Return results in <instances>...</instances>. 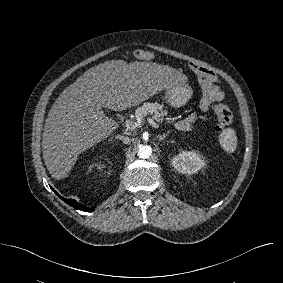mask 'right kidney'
Returning <instances> with one entry per match:
<instances>
[{"mask_svg":"<svg viewBox=\"0 0 283 283\" xmlns=\"http://www.w3.org/2000/svg\"><path fill=\"white\" fill-rule=\"evenodd\" d=\"M98 169H102L104 167V164H102L101 162H99L98 164H96Z\"/></svg>","mask_w":283,"mask_h":283,"instance_id":"obj_1","label":"right kidney"}]
</instances>
